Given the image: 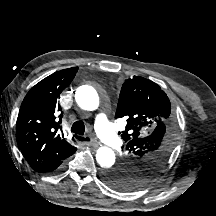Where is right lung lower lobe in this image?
<instances>
[{"mask_svg":"<svg viewBox=\"0 0 216 216\" xmlns=\"http://www.w3.org/2000/svg\"><path fill=\"white\" fill-rule=\"evenodd\" d=\"M59 166V165H58ZM58 166H55V167H53V168H51V169H49L48 171H46V172H51V171H53V170H55Z\"/></svg>","mask_w":216,"mask_h":216,"instance_id":"obj_1","label":"right lung lower lobe"}]
</instances>
